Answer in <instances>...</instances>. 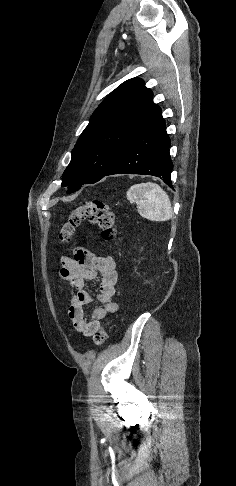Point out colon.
Masks as SVG:
<instances>
[{
  "instance_id": "colon-1",
  "label": "colon",
  "mask_w": 236,
  "mask_h": 486,
  "mask_svg": "<svg viewBox=\"0 0 236 486\" xmlns=\"http://www.w3.org/2000/svg\"><path fill=\"white\" fill-rule=\"evenodd\" d=\"M89 222L101 230L102 238L106 241L113 240L117 235L116 214L104 202L91 199L75 207L61 225L59 240L62 243H69L76 229L83 223ZM107 339L105 327L100 328L93 334L94 344L102 345Z\"/></svg>"
}]
</instances>
